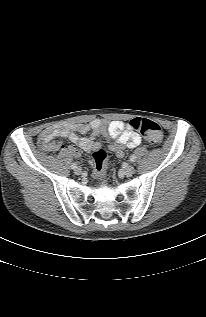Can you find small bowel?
Here are the masks:
<instances>
[{
	"instance_id": "obj_1",
	"label": "small bowel",
	"mask_w": 206,
	"mask_h": 317,
	"mask_svg": "<svg viewBox=\"0 0 206 317\" xmlns=\"http://www.w3.org/2000/svg\"><path fill=\"white\" fill-rule=\"evenodd\" d=\"M92 132L91 136L83 134ZM100 135L106 137L109 148L116 156H124L126 147L134 148L140 145L141 136L136 133L129 123L120 120L107 122L102 119H94L89 123H78L65 127L51 126L42 130L38 136L41 147L49 152H57L64 146L60 139H68L86 152L100 149V143L96 138ZM67 151L74 157L79 156L75 147H68Z\"/></svg>"
}]
</instances>
